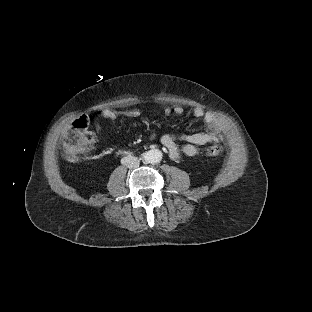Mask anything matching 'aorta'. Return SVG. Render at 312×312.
Wrapping results in <instances>:
<instances>
[{"label":"aorta","instance_id":"obj_1","mask_svg":"<svg viewBox=\"0 0 312 312\" xmlns=\"http://www.w3.org/2000/svg\"><path fill=\"white\" fill-rule=\"evenodd\" d=\"M162 159V152L158 149L150 150L147 155V161L149 163H157Z\"/></svg>","mask_w":312,"mask_h":312}]
</instances>
